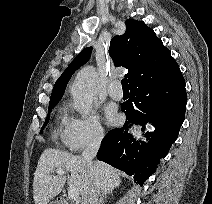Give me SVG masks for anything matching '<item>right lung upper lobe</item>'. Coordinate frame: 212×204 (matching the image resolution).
Listing matches in <instances>:
<instances>
[{"label":"right lung upper lobe","mask_w":212,"mask_h":204,"mask_svg":"<svg viewBox=\"0 0 212 204\" xmlns=\"http://www.w3.org/2000/svg\"><path fill=\"white\" fill-rule=\"evenodd\" d=\"M92 47L82 50L56 81L50 103H58L72 74L90 58ZM109 54L116 66L128 69L129 87L178 66L170 51L143 21L126 20V31L112 38Z\"/></svg>","instance_id":"cb5924a9"}]
</instances>
